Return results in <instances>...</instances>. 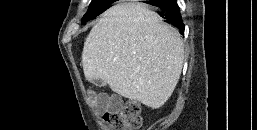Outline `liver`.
<instances>
[{
    "label": "liver",
    "instance_id": "6515ba94",
    "mask_svg": "<svg viewBox=\"0 0 257 130\" xmlns=\"http://www.w3.org/2000/svg\"><path fill=\"white\" fill-rule=\"evenodd\" d=\"M184 61L179 32L139 2L118 3L91 29L84 43L86 79L147 107H161L173 93Z\"/></svg>",
    "mask_w": 257,
    "mask_h": 130
}]
</instances>
